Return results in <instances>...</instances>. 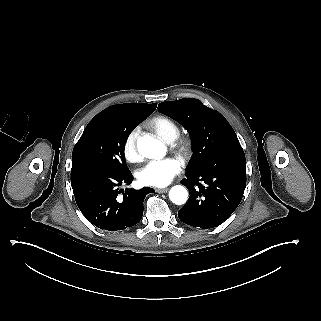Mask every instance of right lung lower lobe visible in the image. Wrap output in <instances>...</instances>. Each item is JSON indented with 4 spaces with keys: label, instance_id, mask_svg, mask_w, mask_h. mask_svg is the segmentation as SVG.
I'll return each mask as SVG.
<instances>
[{
    "label": "right lung lower lobe",
    "instance_id": "right-lung-lower-lobe-1",
    "mask_svg": "<svg viewBox=\"0 0 321 321\" xmlns=\"http://www.w3.org/2000/svg\"><path fill=\"white\" fill-rule=\"evenodd\" d=\"M131 172H117L94 165H74L71 186L82 214L96 227L117 231L137 224L143 215V201L154 190H119L131 184ZM122 196H118L119 194Z\"/></svg>",
    "mask_w": 321,
    "mask_h": 321
}]
</instances>
